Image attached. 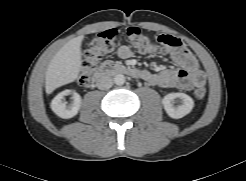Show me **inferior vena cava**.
<instances>
[{"label":"inferior vena cava","instance_id":"1","mask_svg":"<svg viewBox=\"0 0 246 181\" xmlns=\"http://www.w3.org/2000/svg\"><path fill=\"white\" fill-rule=\"evenodd\" d=\"M96 85H97L98 89H100V90H107V89L112 87L113 79L108 75H101L97 79Z\"/></svg>","mask_w":246,"mask_h":181}]
</instances>
